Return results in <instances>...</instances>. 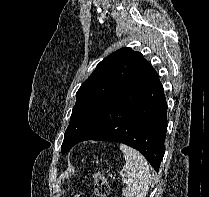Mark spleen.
I'll list each match as a JSON object with an SVG mask.
<instances>
[{
	"mask_svg": "<svg viewBox=\"0 0 209 197\" xmlns=\"http://www.w3.org/2000/svg\"><path fill=\"white\" fill-rule=\"evenodd\" d=\"M125 165L120 174L126 178L125 197H146L151 185V173L146 159L135 149L121 144Z\"/></svg>",
	"mask_w": 209,
	"mask_h": 197,
	"instance_id": "obj_1",
	"label": "spleen"
}]
</instances>
